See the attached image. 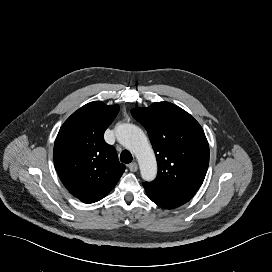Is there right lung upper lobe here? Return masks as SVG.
<instances>
[{
	"mask_svg": "<svg viewBox=\"0 0 272 272\" xmlns=\"http://www.w3.org/2000/svg\"><path fill=\"white\" fill-rule=\"evenodd\" d=\"M118 111V105L90 102L65 121L55 140L53 159L58 175L67 190L84 203L104 198L126 168L103 138Z\"/></svg>",
	"mask_w": 272,
	"mask_h": 272,
	"instance_id": "obj_1",
	"label": "right lung upper lobe"
}]
</instances>
